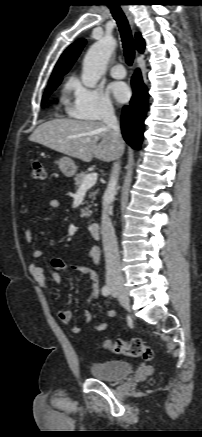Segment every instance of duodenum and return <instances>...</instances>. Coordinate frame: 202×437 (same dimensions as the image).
<instances>
[{"label":"duodenum","mask_w":202,"mask_h":437,"mask_svg":"<svg viewBox=\"0 0 202 437\" xmlns=\"http://www.w3.org/2000/svg\"><path fill=\"white\" fill-rule=\"evenodd\" d=\"M88 232L93 239H98L100 236V225L97 222H92L88 225Z\"/></svg>","instance_id":"1"}]
</instances>
